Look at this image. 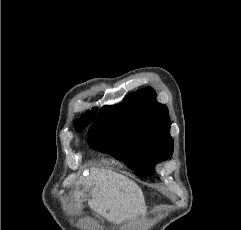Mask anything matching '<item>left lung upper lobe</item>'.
Instances as JSON below:
<instances>
[{
    "mask_svg": "<svg viewBox=\"0 0 241 230\" xmlns=\"http://www.w3.org/2000/svg\"><path fill=\"white\" fill-rule=\"evenodd\" d=\"M170 126L167 107L157 102L151 87H145L121 104L102 107L89 129L88 143L146 177L173 153Z\"/></svg>",
    "mask_w": 241,
    "mask_h": 230,
    "instance_id": "left-lung-upper-lobe-1",
    "label": "left lung upper lobe"
}]
</instances>
